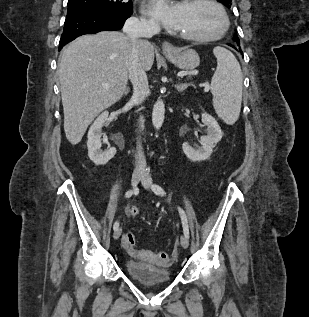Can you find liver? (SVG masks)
<instances>
[{"instance_id":"6515ba94","label":"liver","mask_w":309,"mask_h":317,"mask_svg":"<svg viewBox=\"0 0 309 317\" xmlns=\"http://www.w3.org/2000/svg\"><path fill=\"white\" fill-rule=\"evenodd\" d=\"M134 44L127 35L103 31L83 35L66 46L58 68L64 110V131L78 144L95 117L124 94ZM138 51L143 68L154 62V47L141 40Z\"/></svg>"}]
</instances>
